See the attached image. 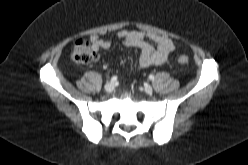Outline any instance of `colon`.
<instances>
[{"mask_svg":"<svg viewBox=\"0 0 248 165\" xmlns=\"http://www.w3.org/2000/svg\"><path fill=\"white\" fill-rule=\"evenodd\" d=\"M72 59L77 64L86 65L95 62L98 59V53L92 48L89 41L80 39L73 47ZM177 60L182 65L189 62L185 55H180Z\"/></svg>","mask_w":248,"mask_h":165,"instance_id":"colon-1","label":"colon"}]
</instances>
